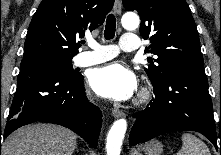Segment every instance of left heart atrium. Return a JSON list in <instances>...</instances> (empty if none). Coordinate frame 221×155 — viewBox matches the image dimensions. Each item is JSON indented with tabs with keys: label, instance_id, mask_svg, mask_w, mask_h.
Returning a JSON list of instances; mask_svg holds the SVG:
<instances>
[{
	"label": "left heart atrium",
	"instance_id": "obj_1",
	"mask_svg": "<svg viewBox=\"0 0 221 155\" xmlns=\"http://www.w3.org/2000/svg\"><path fill=\"white\" fill-rule=\"evenodd\" d=\"M90 85L98 95L122 101L133 96L137 89V80L127 67L113 63L93 70Z\"/></svg>",
	"mask_w": 221,
	"mask_h": 155
}]
</instances>
